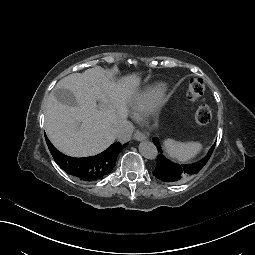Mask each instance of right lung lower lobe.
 <instances>
[{"label":"right lung lower lobe","instance_id":"1","mask_svg":"<svg viewBox=\"0 0 255 255\" xmlns=\"http://www.w3.org/2000/svg\"><path fill=\"white\" fill-rule=\"evenodd\" d=\"M83 179L85 181H92L94 179V167L91 161H86L84 163Z\"/></svg>","mask_w":255,"mask_h":255}]
</instances>
